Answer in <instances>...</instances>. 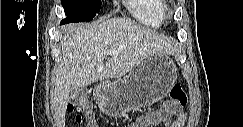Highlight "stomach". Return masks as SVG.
<instances>
[{"label": "stomach", "mask_w": 243, "mask_h": 127, "mask_svg": "<svg viewBox=\"0 0 243 127\" xmlns=\"http://www.w3.org/2000/svg\"><path fill=\"white\" fill-rule=\"evenodd\" d=\"M176 79L177 68L170 57L155 53L137 64L123 80L100 83L95 97L102 113L120 117L163 99Z\"/></svg>", "instance_id": "1"}]
</instances>
